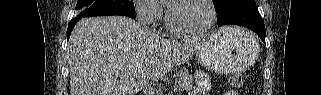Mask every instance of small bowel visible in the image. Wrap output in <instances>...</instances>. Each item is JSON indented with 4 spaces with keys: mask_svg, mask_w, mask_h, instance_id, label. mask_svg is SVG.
Masks as SVG:
<instances>
[{
    "mask_svg": "<svg viewBox=\"0 0 321 95\" xmlns=\"http://www.w3.org/2000/svg\"><path fill=\"white\" fill-rule=\"evenodd\" d=\"M235 94H236V93L233 92V91H228V92L224 93V95H235Z\"/></svg>",
    "mask_w": 321,
    "mask_h": 95,
    "instance_id": "obj_1",
    "label": "small bowel"
}]
</instances>
